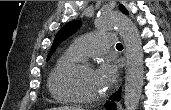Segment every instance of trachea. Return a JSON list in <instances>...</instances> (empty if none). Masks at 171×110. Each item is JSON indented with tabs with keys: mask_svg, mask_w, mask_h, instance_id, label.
I'll list each match as a JSON object with an SVG mask.
<instances>
[{
	"mask_svg": "<svg viewBox=\"0 0 171 110\" xmlns=\"http://www.w3.org/2000/svg\"><path fill=\"white\" fill-rule=\"evenodd\" d=\"M116 48H123V46H122L121 43H118V44L116 45Z\"/></svg>",
	"mask_w": 171,
	"mask_h": 110,
	"instance_id": "3493384b",
	"label": "trachea"
}]
</instances>
